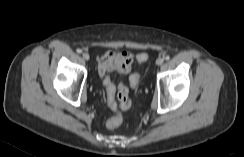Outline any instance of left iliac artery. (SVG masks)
Listing matches in <instances>:
<instances>
[{"label": "left iliac artery", "instance_id": "44dca946", "mask_svg": "<svg viewBox=\"0 0 244 157\" xmlns=\"http://www.w3.org/2000/svg\"><path fill=\"white\" fill-rule=\"evenodd\" d=\"M170 59V56H165V60H169Z\"/></svg>", "mask_w": 244, "mask_h": 157}]
</instances>
